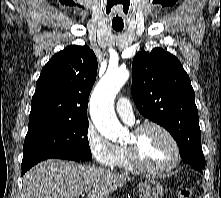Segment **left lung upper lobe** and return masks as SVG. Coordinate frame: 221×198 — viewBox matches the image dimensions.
<instances>
[{
	"mask_svg": "<svg viewBox=\"0 0 221 198\" xmlns=\"http://www.w3.org/2000/svg\"><path fill=\"white\" fill-rule=\"evenodd\" d=\"M132 73L131 93L139 112L170 132L185 163L203 170L195 93L179 60L160 48L141 51L134 57Z\"/></svg>",
	"mask_w": 221,
	"mask_h": 198,
	"instance_id": "5c2ea615",
	"label": "left lung upper lobe"
}]
</instances>
